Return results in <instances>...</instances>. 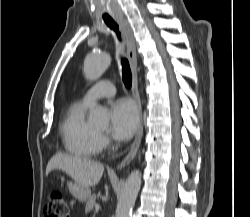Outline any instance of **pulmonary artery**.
<instances>
[{"mask_svg": "<svg viewBox=\"0 0 250 217\" xmlns=\"http://www.w3.org/2000/svg\"><path fill=\"white\" fill-rule=\"evenodd\" d=\"M116 92L114 85L107 80H102L88 89L82 98V102L92 105L96 100L104 97H112Z\"/></svg>", "mask_w": 250, "mask_h": 217, "instance_id": "e3ab8cb5", "label": "pulmonary artery"}]
</instances>
